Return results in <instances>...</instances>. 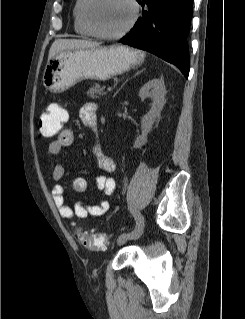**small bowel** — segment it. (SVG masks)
Wrapping results in <instances>:
<instances>
[{
    "label": "small bowel",
    "instance_id": "c3829d8e",
    "mask_svg": "<svg viewBox=\"0 0 245 319\" xmlns=\"http://www.w3.org/2000/svg\"><path fill=\"white\" fill-rule=\"evenodd\" d=\"M57 105H50L48 108ZM80 118L89 127L95 129L98 120V108L93 103L85 104L80 110ZM74 141V133L71 129L62 130L57 138L50 142L49 152L52 155H59L62 149L70 146ZM95 155L98 161V167L103 172H114L116 170V164L114 160L102 153L99 148L95 149ZM66 169L58 163L53 167L52 177L56 181H60L65 176ZM98 186L107 195L112 194L116 189V180L104 174L98 176ZM86 189V180L82 177H76L70 186V192L79 194ZM65 189L63 185L56 184L52 189V198L54 204L62 218L66 220H72L74 217L84 220L88 216H102L109 210V202L104 200L99 205H86L82 202H77L74 207H69L64 198Z\"/></svg>",
    "mask_w": 245,
    "mask_h": 319
}]
</instances>
